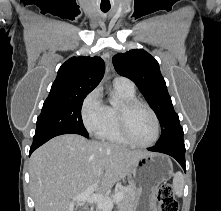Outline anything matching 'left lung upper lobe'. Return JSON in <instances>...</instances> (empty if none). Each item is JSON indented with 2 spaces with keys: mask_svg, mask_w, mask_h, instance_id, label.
<instances>
[{
  "mask_svg": "<svg viewBox=\"0 0 221 211\" xmlns=\"http://www.w3.org/2000/svg\"><path fill=\"white\" fill-rule=\"evenodd\" d=\"M113 65L118 74L137 85L156 113L161 125V136L156 145L183 140V129L156 59L143 49H134L115 55Z\"/></svg>",
  "mask_w": 221,
  "mask_h": 211,
  "instance_id": "1",
  "label": "left lung upper lobe"
}]
</instances>
